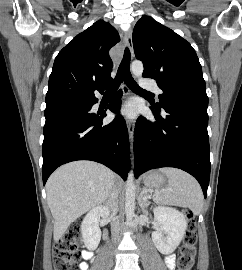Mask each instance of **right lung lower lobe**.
<instances>
[{
  "label": "right lung lower lobe",
  "instance_id": "98d812e1",
  "mask_svg": "<svg viewBox=\"0 0 242 270\" xmlns=\"http://www.w3.org/2000/svg\"><path fill=\"white\" fill-rule=\"evenodd\" d=\"M119 90L108 109L118 112ZM97 98L81 99L46 107L43 141L42 176L45 185L60 165L75 160H92L106 165L124 180L130 168L128 130L122 116L107 125L106 113L91 112Z\"/></svg>",
  "mask_w": 242,
  "mask_h": 270
}]
</instances>
